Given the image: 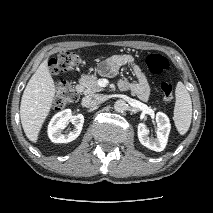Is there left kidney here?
<instances>
[{
    "label": "left kidney",
    "mask_w": 213,
    "mask_h": 213,
    "mask_svg": "<svg viewBox=\"0 0 213 213\" xmlns=\"http://www.w3.org/2000/svg\"><path fill=\"white\" fill-rule=\"evenodd\" d=\"M157 123V138L152 140L149 138V131L145 123L138 124V139L140 143L147 147L148 149L154 150L156 152H161L165 149L168 136L171 129V124L169 118L166 114L158 112L156 114Z\"/></svg>",
    "instance_id": "obj_1"
}]
</instances>
